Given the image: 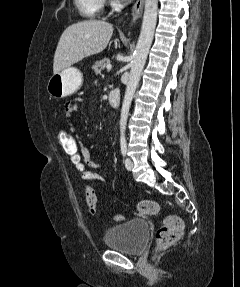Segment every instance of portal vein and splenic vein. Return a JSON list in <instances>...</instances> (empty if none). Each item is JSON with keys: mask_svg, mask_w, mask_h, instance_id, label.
<instances>
[{"mask_svg": "<svg viewBox=\"0 0 240 287\" xmlns=\"http://www.w3.org/2000/svg\"><path fill=\"white\" fill-rule=\"evenodd\" d=\"M112 68V65L111 64H108L107 66H106V69L107 70H110Z\"/></svg>", "mask_w": 240, "mask_h": 287, "instance_id": "18ae733b", "label": "portal vein and splenic vein"}]
</instances>
